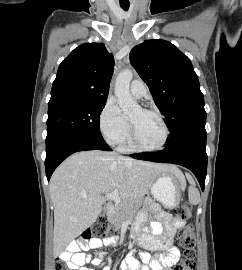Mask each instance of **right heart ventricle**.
<instances>
[{"mask_svg": "<svg viewBox=\"0 0 242 270\" xmlns=\"http://www.w3.org/2000/svg\"><path fill=\"white\" fill-rule=\"evenodd\" d=\"M120 149L122 151L133 150V146H132L131 140H130V132H129L128 136L126 137V139L124 140V142L121 144Z\"/></svg>", "mask_w": 242, "mask_h": 270, "instance_id": "obj_1", "label": "right heart ventricle"}]
</instances>
